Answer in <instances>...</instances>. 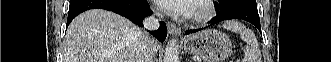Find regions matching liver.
<instances>
[{
	"label": "liver",
	"instance_id": "6515ba94",
	"mask_svg": "<svg viewBox=\"0 0 331 62\" xmlns=\"http://www.w3.org/2000/svg\"><path fill=\"white\" fill-rule=\"evenodd\" d=\"M141 30L126 18L102 9L77 16L69 25L63 62H134ZM153 43V54L158 50Z\"/></svg>",
	"mask_w": 331,
	"mask_h": 62
}]
</instances>
